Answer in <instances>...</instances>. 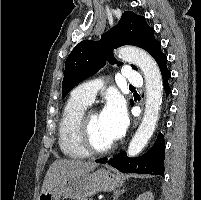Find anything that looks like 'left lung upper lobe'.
<instances>
[{"mask_svg": "<svg viewBox=\"0 0 201 200\" xmlns=\"http://www.w3.org/2000/svg\"><path fill=\"white\" fill-rule=\"evenodd\" d=\"M123 45L141 47L155 60L162 54L161 43L155 39L154 29L146 23L145 18L125 11L118 24L102 34L100 41L84 40L69 54L65 62L62 98L80 81L95 74L106 61L114 64L113 49ZM121 64L118 62L119 66ZM132 67L137 69L134 65Z\"/></svg>", "mask_w": 201, "mask_h": 200, "instance_id": "left-lung-upper-lobe-1", "label": "left lung upper lobe"}]
</instances>
